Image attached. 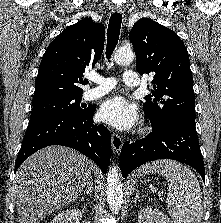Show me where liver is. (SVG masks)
<instances>
[{
    "mask_svg": "<svg viewBox=\"0 0 221 223\" xmlns=\"http://www.w3.org/2000/svg\"><path fill=\"white\" fill-rule=\"evenodd\" d=\"M91 167V160L64 146H49L31 155L14 180L19 223H40L77 199L91 178Z\"/></svg>",
    "mask_w": 221,
    "mask_h": 223,
    "instance_id": "6515ba94",
    "label": "liver"
}]
</instances>
